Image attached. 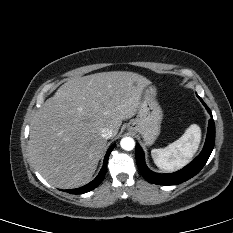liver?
Listing matches in <instances>:
<instances>
[{"label": "liver", "instance_id": "obj_1", "mask_svg": "<svg viewBox=\"0 0 233 233\" xmlns=\"http://www.w3.org/2000/svg\"><path fill=\"white\" fill-rule=\"evenodd\" d=\"M151 82L137 73L111 71L70 79L48 98L33 119L30 157L52 186L70 189L87 184L107 140L122 121L138 111L142 90Z\"/></svg>", "mask_w": 233, "mask_h": 233}]
</instances>
